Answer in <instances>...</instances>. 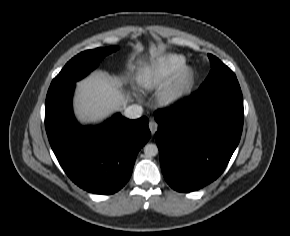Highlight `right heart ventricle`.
Instances as JSON below:
<instances>
[{
	"label": "right heart ventricle",
	"instance_id": "e07e8e85",
	"mask_svg": "<svg viewBox=\"0 0 290 236\" xmlns=\"http://www.w3.org/2000/svg\"><path fill=\"white\" fill-rule=\"evenodd\" d=\"M186 62L182 55L168 54L148 66L140 79L146 89H152L170 79Z\"/></svg>",
	"mask_w": 290,
	"mask_h": 236
}]
</instances>
